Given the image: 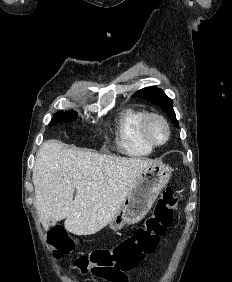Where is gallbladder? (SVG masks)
<instances>
[{"mask_svg":"<svg viewBox=\"0 0 232 282\" xmlns=\"http://www.w3.org/2000/svg\"><path fill=\"white\" fill-rule=\"evenodd\" d=\"M56 225V221L52 220L49 222V226H55Z\"/></svg>","mask_w":232,"mask_h":282,"instance_id":"bac80fb5","label":"gallbladder"}]
</instances>
